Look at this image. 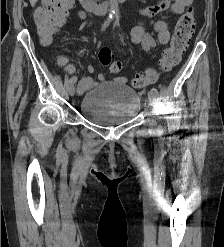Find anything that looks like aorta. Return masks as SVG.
<instances>
[{"label":"aorta","instance_id":"762f6f07","mask_svg":"<svg viewBox=\"0 0 224 247\" xmlns=\"http://www.w3.org/2000/svg\"><path fill=\"white\" fill-rule=\"evenodd\" d=\"M109 6H110V10H109V18H115L116 16V10H117V4H116V0H109Z\"/></svg>","mask_w":224,"mask_h":247}]
</instances>
